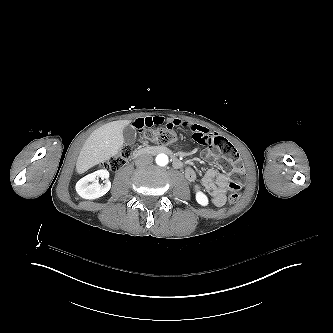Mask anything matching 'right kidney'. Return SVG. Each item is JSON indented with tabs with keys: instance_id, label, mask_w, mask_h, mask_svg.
Listing matches in <instances>:
<instances>
[{
	"instance_id": "obj_1",
	"label": "right kidney",
	"mask_w": 333,
	"mask_h": 333,
	"mask_svg": "<svg viewBox=\"0 0 333 333\" xmlns=\"http://www.w3.org/2000/svg\"><path fill=\"white\" fill-rule=\"evenodd\" d=\"M103 179V184H99L96 178ZM109 172L107 170H97L81 178L76 183V191L84 199H96L105 195L111 188V182L108 180ZM91 182V184H90Z\"/></svg>"
}]
</instances>
